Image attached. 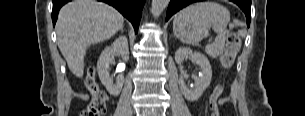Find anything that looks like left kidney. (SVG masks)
<instances>
[{"label": "left kidney", "mask_w": 305, "mask_h": 116, "mask_svg": "<svg viewBox=\"0 0 305 116\" xmlns=\"http://www.w3.org/2000/svg\"><path fill=\"white\" fill-rule=\"evenodd\" d=\"M186 58H190L194 64H197L201 71L198 76H193L195 81L193 86L188 87L184 79L188 78L186 73H183L179 79V86L185 99L188 101H196L210 85L212 78V69L208 58L200 53L193 52L190 48L181 47L175 53V61L177 64H182Z\"/></svg>", "instance_id": "obj_1"}]
</instances>
